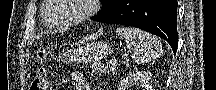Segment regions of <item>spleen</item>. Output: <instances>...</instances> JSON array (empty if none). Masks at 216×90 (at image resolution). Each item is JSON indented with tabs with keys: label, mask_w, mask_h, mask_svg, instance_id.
<instances>
[{
	"label": "spleen",
	"mask_w": 216,
	"mask_h": 90,
	"mask_svg": "<svg viewBox=\"0 0 216 90\" xmlns=\"http://www.w3.org/2000/svg\"><path fill=\"white\" fill-rule=\"evenodd\" d=\"M117 36L125 40L128 50L131 54L133 62L144 64V62H152L161 54V46L158 38L143 32L139 28H117Z\"/></svg>",
	"instance_id": "spleen-1"
}]
</instances>
